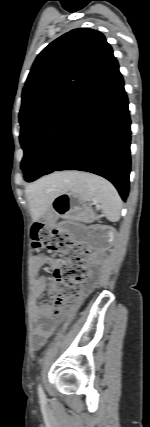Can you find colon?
Here are the masks:
<instances>
[{
    "mask_svg": "<svg viewBox=\"0 0 150 427\" xmlns=\"http://www.w3.org/2000/svg\"><path fill=\"white\" fill-rule=\"evenodd\" d=\"M31 239L34 249L59 251L66 258V263L54 271L51 311L53 315H58L62 306L74 299L78 287L85 280L87 271L85 256L88 251L85 247L72 243L65 231L49 230L41 223L33 226Z\"/></svg>",
    "mask_w": 150,
    "mask_h": 427,
    "instance_id": "obj_1",
    "label": "colon"
}]
</instances>
